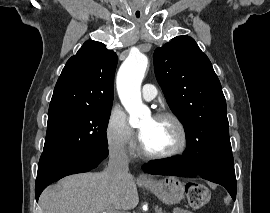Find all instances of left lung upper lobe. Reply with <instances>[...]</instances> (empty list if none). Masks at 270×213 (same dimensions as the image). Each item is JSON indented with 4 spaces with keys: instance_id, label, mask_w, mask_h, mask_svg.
I'll use <instances>...</instances> for the list:
<instances>
[{
    "instance_id": "left-lung-upper-lobe-1",
    "label": "left lung upper lobe",
    "mask_w": 270,
    "mask_h": 213,
    "mask_svg": "<svg viewBox=\"0 0 270 213\" xmlns=\"http://www.w3.org/2000/svg\"><path fill=\"white\" fill-rule=\"evenodd\" d=\"M155 75L186 140L202 162L233 160L226 100L208 57L189 36H177L153 55Z\"/></svg>"
}]
</instances>
